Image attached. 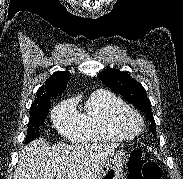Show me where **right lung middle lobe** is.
Here are the masks:
<instances>
[{
    "label": "right lung middle lobe",
    "instance_id": "right-lung-middle-lobe-1",
    "mask_svg": "<svg viewBox=\"0 0 183 179\" xmlns=\"http://www.w3.org/2000/svg\"><path fill=\"white\" fill-rule=\"evenodd\" d=\"M50 106H51L50 101H47L38 106H31L29 125H28V134L25 138V143H29L30 141L36 138H39V135H40L39 129L45 121V117L49 112Z\"/></svg>",
    "mask_w": 183,
    "mask_h": 179
}]
</instances>
